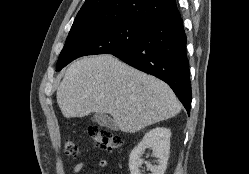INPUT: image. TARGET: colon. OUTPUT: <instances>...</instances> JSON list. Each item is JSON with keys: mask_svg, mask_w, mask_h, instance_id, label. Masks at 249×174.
<instances>
[{"mask_svg": "<svg viewBox=\"0 0 249 174\" xmlns=\"http://www.w3.org/2000/svg\"><path fill=\"white\" fill-rule=\"evenodd\" d=\"M88 136L92 139L96 147L108 151L117 150L121 147L122 144L120 136L114 134L109 130L101 129L96 126H91L88 128ZM64 153L67 156H78L79 154L78 146L70 138L64 140Z\"/></svg>", "mask_w": 249, "mask_h": 174, "instance_id": "colon-1", "label": "colon"}]
</instances>
